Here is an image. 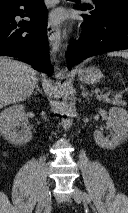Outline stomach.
<instances>
[{
    "mask_svg": "<svg viewBox=\"0 0 128 213\" xmlns=\"http://www.w3.org/2000/svg\"><path fill=\"white\" fill-rule=\"evenodd\" d=\"M78 77L80 81L87 84H94L101 80L103 73L97 67H87L78 70Z\"/></svg>",
    "mask_w": 128,
    "mask_h": 213,
    "instance_id": "0dacf381",
    "label": "stomach"
}]
</instances>
